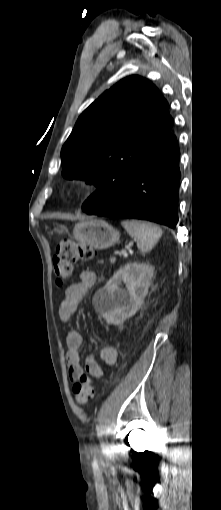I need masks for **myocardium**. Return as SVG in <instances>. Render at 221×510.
I'll use <instances>...</instances> for the list:
<instances>
[{
    "label": "myocardium",
    "instance_id": "obj_1",
    "mask_svg": "<svg viewBox=\"0 0 221 510\" xmlns=\"http://www.w3.org/2000/svg\"><path fill=\"white\" fill-rule=\"evenodd\" d=\"M89 188V184L83 179H72L63 188V196L67 200L81 198Z\"/></svg>",
    "mask_w": 221,
    "mask_h": 510
}]
</instances>
